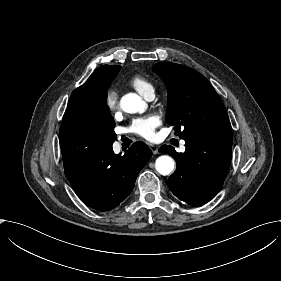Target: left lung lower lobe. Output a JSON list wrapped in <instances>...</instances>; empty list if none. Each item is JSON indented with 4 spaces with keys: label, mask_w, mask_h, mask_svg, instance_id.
Masks as SVG:
<instances>
[{
    "label": "left lung lower lobe",
    "mask_w": 281,
    "mask_h": 281,
    "mask_svg": "<svg viewBox=\"0 0 281 281\" xmlns=\"http://www.w3.org/2000/svg\"><path fill=\"white\" fill-rule=\"evenodd\" d=\"M186 151L177 153L164 145L159 151L177 162L167 185L180 200L191 206L210 201L221 189L231 164V136H206L184 139Z\"/></svg>",
    "instance_id": "left-lung-lower-lobe-1"
}]
</instances>
